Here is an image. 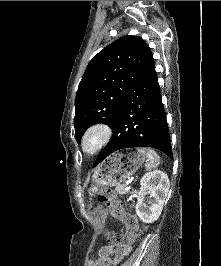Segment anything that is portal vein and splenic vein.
<instances>
[{"label":"portal vein and splenic vein","instance_id":"portal-vein-and-splenic-vein-1","mask_svg":"<svg viewBox=\"0 0 221 266\" xmlns=\"http://www.w3.org/2000/svg\"><path fill=\"white\" fill-rule=\"evenodd\" d=\"M131 182H132V179H131V180H129V181H127V185H129ZM126 189H128V190H129V187H127Z\"/></svg>","mask_w":221,"mask_h":266}]
</instances>
